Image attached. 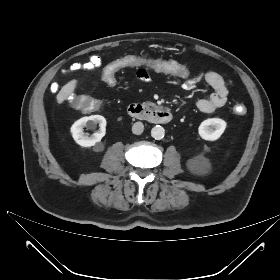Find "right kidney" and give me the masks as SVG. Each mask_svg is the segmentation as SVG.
Wrapping results in <instances>:
<instances>
[{
	"label": "right kidney",
	"mask_w": 280,
	"mask_h": 280,
	"mask_svg": "<svg viewBox=\"0 0 280 280\" xmlns=\"http://www.w3.org/2000/svg\"><path fill=\"white\" fill-rule=\"evenodd\" d=\"M96 124H99L100 131L94 133L91 137L85 135L83 128L87 127L93 129ZM72 137L77 144L82 147L94 146L97 142H100L106 132V119L101 115H91L78 119L71 126Z\"/></svg>",
	"instance_id": "right-kidney-1"
}]
</instances>
